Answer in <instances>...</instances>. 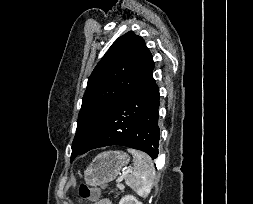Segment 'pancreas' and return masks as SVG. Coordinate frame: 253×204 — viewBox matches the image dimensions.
Masks as SVG:
<instances>
[{"label":"pancreas","instance_id":"1","mask_svg":"<svg viewBox=\"0 0 253 204\" xmlns=\"http://www.w3.org/2000/svg\"><path fill=\"white\" fill-rule=\"evenodd\" d=\"M117 187L123 192L125 186L123 184H118Z\"/></svg>","mask_w":253,"mask_h":204}]
</instances>
